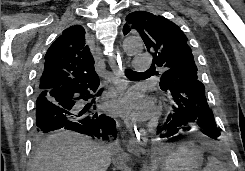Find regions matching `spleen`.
I'll return each mask as SVG.
<instances>
[{"instance_id": "1", "label": "spleen", "mask_w": 245, "mask_h": 171, "mask_svg": "<svg viewBox=\"0 0 245 171\" xmlns=\"http://www.w3.org/2000/svg\"><path fill=\"white\" fill-rule=\"evenodd\" d=\"M202 171H225L223 165L214 157L208 158V163Z\"/></svg>"}]
</instances>
